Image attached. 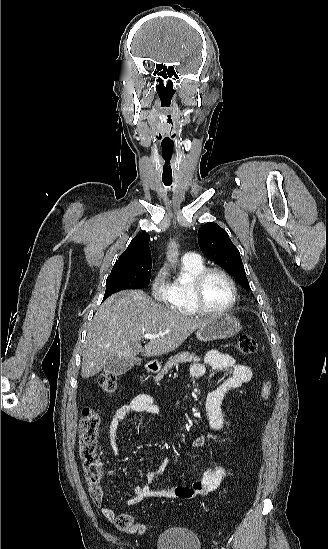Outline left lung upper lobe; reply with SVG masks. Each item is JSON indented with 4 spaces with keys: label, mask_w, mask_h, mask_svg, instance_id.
Wrapping results in <instances>:
<instances>
[{
    "label": "left lung upper lobe",
    "mask_w": 328,
    "mask_h": 549,
    "mask_svg": "<svg viewBox=\"0 0 328 549\" xmlns=\"http://www.w3.org/2000/svg\"><path fill=\"white\" fill-rule=\"evenodd\" d=\"M202 252L224 270L232 274L240 284L250 290L239 250L234 246L228 233L218 224H204L198 234Z\"/></svg>",
    "instance_id": "5c2ea615"
}]
</instances>
